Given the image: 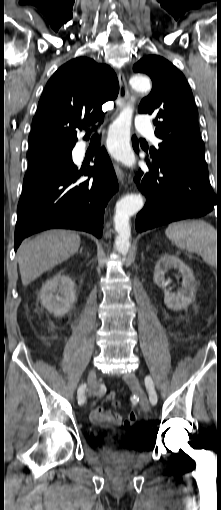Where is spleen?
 <instances>
[{
    "label": "spleen",
    "mask_w": 221,
    "mask_h": 510,
    "mask_svg": "<svg viewBox=\"0 0 221 510\" xmlns=\"http://www.w3.org/2000/svg\"><path fill=\"white\" fill-rule=\"evenodd\" d=\"M167 237L180 249L197 253L208 264L216 260V230L202 220H186L171 223L166 229Z\"/></svg>",
    "instance_id": "1"
}]
</instances>
